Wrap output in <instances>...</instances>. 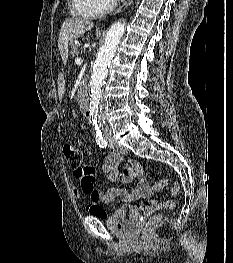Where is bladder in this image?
Listing matches in <instances>:
<instances>
[{
    "mask_svg": "<svg viewBox=\"0 0 233 263\" xmlns=\"http://www.w3.org/2000/svg\"><path fill=\"white\" fill-rule=\"evenodd\" d=\"M139 215L134 210L119 208L105 223L112 234L120 238H131L135 235Z\"/></svg>",
    "mask_w": 233,
    "mask_h": 263,
    "instance_id": "bladder-1",
    "label": "bladder"
}]
</instances>
